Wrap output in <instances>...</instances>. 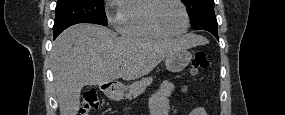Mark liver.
I'll return each mask as SVG.
<instances>
[{
	"label": "liver",
	"mask_w": 285,
	"mask_h": 115,
	"mask_svg": "<svg viewBox=\"0 0 285 115\" xmlns=\"http://www.w3.org/2000/svg\"><path fill=\"white\" fill-rule=\"evenodd\" d=\"M206 41L187 34L175 40L118 37L110 29L81 23L54 41L51 63L60 115H76L85 85H102L149 74L164 58Z\"/></svg>",
	"instance_id": "liver-1"
}]
</instances>
